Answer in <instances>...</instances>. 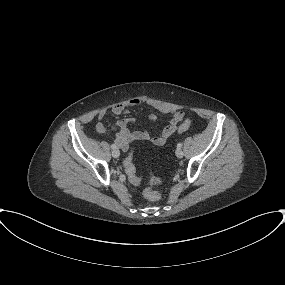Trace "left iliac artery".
Returning <instances> with one entry per match:
<instances>
[{
    "label": "left iliac artery",
    "mask_w": 285,
    "mask_h": 285,
    "mask_svg": "<svg viewBox=\"0 0 285 285\" xmlns=\"http://www.w3.org/2000/svg\"><path fill=\"white\" fill-rule=\"evenodd\" d=\"M181 147H182V143L179 142V143L177 144V149H181Z\"/></svg>",
    "instance_id": "left-iliac-artery-1"
}]
</instances>
